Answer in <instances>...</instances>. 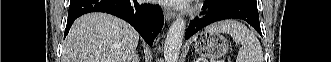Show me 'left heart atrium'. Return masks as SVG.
Here are the masks:
<instances>
[{
  "label": "left heart atrium",
  "instance_id": "left-heart-atrium-1",
  "mask_svg": "<svg viewBox=\"0 0 331 62\" xmlns=\"http://www.w3.org/2000/svg\"><path fill=\"white\" fill-rule=\"evenodd\" d=\"M164 2L174 6H184L188 3V0H164Z\"/></svg>",
  "mask_w": 331,
  "mask_h": 62
}]
</instances>
